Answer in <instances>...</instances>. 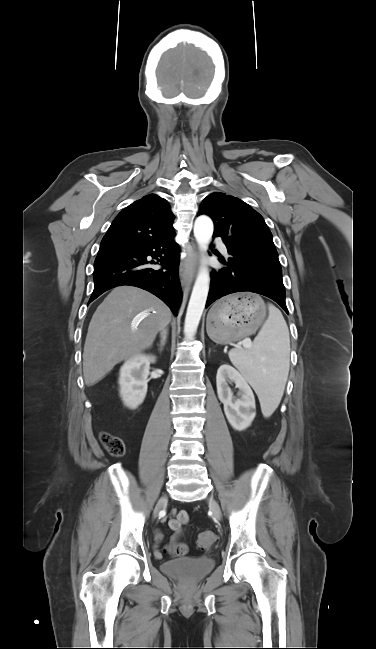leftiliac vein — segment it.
Masks as SVG:
<instances>
[{"instance_id": "obj_1", "label": "left iliac vein", "mask_w": 376, "mask_h": 649, "mask_svg": "<svg viewBox=\"0 0 376 649\" xmlns=\"http://www.w3.org/2000/svg\"><path fill=\"white\" fill-rule=\"evenodd\" d=\"M209 507H210L214 517L220 520L221 517H222L220 507L213 498H209Z\"/></svg>"}]
</instances>
